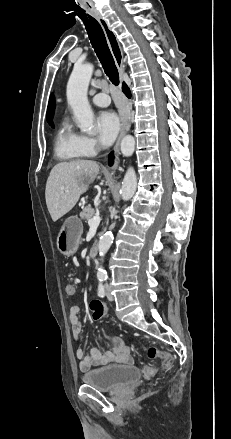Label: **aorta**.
<instances>
[{"label": "aorta", "mask_w": 231, "mask_h": 439, "mask_svg": "<svg viewBox=\"0 0 231 439\" xmlns=\"http://www.w3.org/2000/svg\"><path fill=\"white\" fill-rule=\"evenodd\" d=\"M93 73V65L90 63L75 65L67 84V101L73 110L75 119L80 130L84 133L93 134V111L89 105L87 91L90 79ZM135 149V139L127 135L121 142V152L124 156L129 157ZM137 187V177L134 169L129 167L124 176L120 190L121 197L124 201L130 200ZM113 243L112 232H106L100 238L98 250L99 256L103 258ZM105 269L100 265L97 269V277H105Z\"/></svg>", "instance_id": "aorta-1"}]
</instances>
